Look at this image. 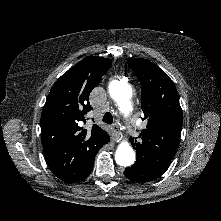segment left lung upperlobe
Segmentation results:
<instances>
[{
	"mask_svg": "<svg viewBox=\"0 0 221 221\" xmlns=\"http://www.w3.org/2000/svg\"><path fill=\"white\" fill-rule=\"evenodd\" d=\"M128 65L141 83V109L146 129L139 139L130 138L136 149L135 165L169 166L178 150L183 125L176 87L169 76L146 59H129Z\"/></svg>",
	"mask_w": 221,
	"mask_h": 221,
	"instance_id": "5c2ea615",
	"label": "left lung upper lobe"
}]
</instances>
